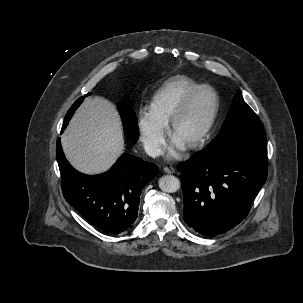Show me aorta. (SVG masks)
Instances as JSON below:
<instances>
[{
	"label": "aorta",
	"instance_id": "1",
	"mask_svg": "<svg viewBox=\"0 0 303 303\" xmlns=\"http://www.w3.org/2000/svg\"><path fill=\"white\" fill-rule=\"evenodd\" d=\"M159 188L163 192L174 193L180 188V181L173 175H165L159 179Z\"/></svg>",
	"mask_w": 303,
	"mask_h": 303
}]
</instances>
